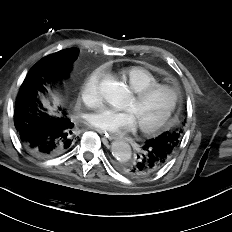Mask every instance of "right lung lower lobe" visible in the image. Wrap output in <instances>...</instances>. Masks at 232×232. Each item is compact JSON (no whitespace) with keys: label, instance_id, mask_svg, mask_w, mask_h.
<instances>
[{"label":"right lung lower lobe","instance_id":"1","mask_svg":"<svg viewBox=\"0 0 232 232\" xmlns=\"http://www.w3.org/2000/svg\"><path fill=\"white\" fill-rule=\"evenodd\" d=\"M35 89H24L15 102L14 124L23 147L37 157H55L73 144V127L66 113H43Z\"/></svg>","mask_w":232,"mask_h":232}]
</instances>
